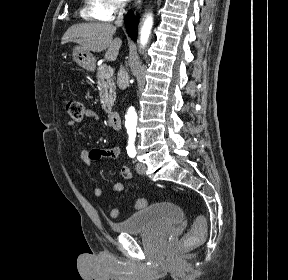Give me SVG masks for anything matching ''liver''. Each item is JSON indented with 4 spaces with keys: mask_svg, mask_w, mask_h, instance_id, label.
Instances as JSON below:
<instances>
[{
    "mask_svg": "<svg viewBox=\"0 0 288 280\" xmlns=\"http://www.w3.org/2000/svg\"><path fill=\"white\" fill-rule=\"evenodd\" d=\"M116 27L110 23H80L72 25L62 37L61 44L68 41L78 43L83 49L92 52H101L107 49L105 58L115 61L122 41L113 40Z\"/></svg>",
    "mask_w": 288,
    "mask_h": 280,
    "instance_id": "1",
    "label": "liver"
}]
</instances>
